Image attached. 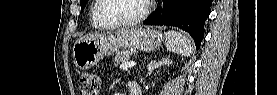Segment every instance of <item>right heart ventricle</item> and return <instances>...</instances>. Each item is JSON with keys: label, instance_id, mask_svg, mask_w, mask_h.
Wrapping results in <instances>:
<instances>
[{"label": "right heart ventricle", "instance_id": "obj_1", "mask_svg": "<svg viewBox=\"0 0 277 95\" xmlns=\"http://www.w3.org/2000/svg\"><path fill=\"white\" fill-rule=\"evenodd\" d=\"M98 1H99V0H94V1H93V7H92V8H94V7L98 4ZM91 23H92V25H93L95 28L100 29V28L103 27L100 23H98L97 21H95L94 18L91 19Z\"/></svg>", "mask_w": 277, "mask_h": 95}]
</instances>
